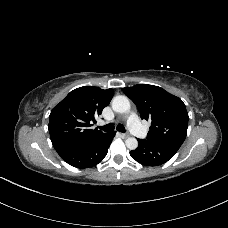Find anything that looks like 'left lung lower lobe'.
Here are the masks:
<instances>
[{
  "mask_svg": "<svg viewBox=\"0 0 228 228\" xmlns=\"http://www.w3.org/2000/svg\"><path fill=\"white\" fill-rule=\"evenodd\" d=\"M139 146L130 152L137 162L147 166H158L170 160L180 148L179 145L166 142H154L138 139Z\"/></svg>",
  "mask_w": 228,
  "mask_h": 228,
  "instance_id": "1",
  "label": "left lung lower lobe"
}]
</instances>
